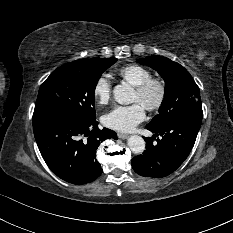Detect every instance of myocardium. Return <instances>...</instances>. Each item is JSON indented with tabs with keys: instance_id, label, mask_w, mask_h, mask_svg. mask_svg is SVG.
<instances>
[{
	"instance_id": "f54148a6",
	"label": "myocardium",
	"mask_w": 233,
	"mask_h": 233,
	"mask_svg": "<svg viewBox=\"0 0 233 233\" xmlns=\"http://www.w3.org/2000/svg\"><path fill=\"white\" fill-rule=\"evenodd\" d=\"M152 89L157 90V97L154 102L144 106L146 110L151 112L159 110L166 100L167 84L165 80L161 77H151L136 87L135 91L140 97H145Z\"/></svg>"
}]
</instances>
